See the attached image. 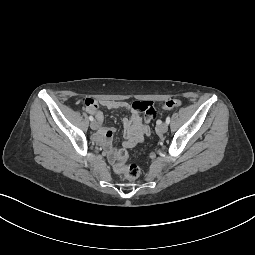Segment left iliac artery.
<instances>
[{
    "label": "left iliac artery",
    "instance_id": "1",
    "mask_svg": "<svg viewBox=\"0 0 255 255\" xmlns=\"http://www.w3.org/2000/svg\"><path fill=\"white\" fill-rule=\"evenodd\" d=\"M166 123H167V124L170 123V117H169V116L166 118Z\"/></svg>",
    "mask_w": 255,
    "mask_h": 255
}]
</instances>
